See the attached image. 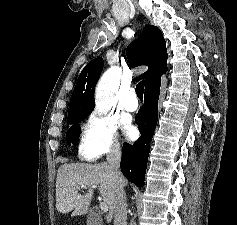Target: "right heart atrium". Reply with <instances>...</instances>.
<instances>
[{"instance_id":"d8ad5b80","label":"right heart atrium","mask_w":237,"mask_h":225,"mask_svg":"<svg viewBox=\"0 0 237 225\" xmlns=\"http://www.w3.org/2000/svg\"><path fill=\"white\" fill-rule=\"evenodd\" d=\"M78 150L87 160H96L105 154H118L121 150L117 124L96 112L82 124Z\"/></svg>"}]
</instances>
